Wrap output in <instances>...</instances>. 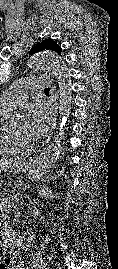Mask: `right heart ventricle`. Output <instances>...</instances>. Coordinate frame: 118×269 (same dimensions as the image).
<instances>
[{
	"instance_id": "e07e8e85",
	"label": "right heart ventricle",
	"mask_w": 118,
	"mask_h": 269,
	"mask_svg": "<svg viewBox=\"0 0 118 269\" xmlns=\"http://www.w3.org/2000/svg\"><path fill=\"white\" fill-rule=\"evenodd\" d=\"M4 112L0 108V114ZM21 150L20 146L14 141L11 134L0 133V155L15 154Z\"/></svg>"
}]
</instances>
